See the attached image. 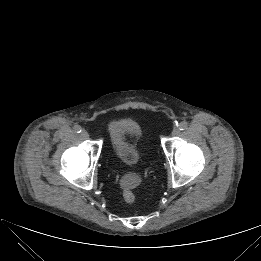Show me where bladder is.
I'll list each match as a JSON object with an SVG mask.
<instances>
[{
  "label": "bladder",
  "instance_id": "31cf9c89",
  "mask_svg": "<svg viewBox=\"0 0 261 261\" xmlns=\"http://www.w3.org/2000/svg\"><path fill=\"white\" fill-rule=\"evenodd\" d=\"M113 154L116 160L127 168L140 166L145 159L142 144V130L131 118H121L110 126Z\"/></svg>",
  "mask_w": 261,
  "mask_h": 261
}]
</instances>
